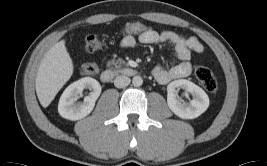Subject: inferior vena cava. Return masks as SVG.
<instances>
[{
    "mask_svg": "<svg viewBox=\"0 0 267 166\" xmlns=\"http://www.w3.org/2000/svg\"><path fill=\"white\" fill-rule=\"evenodd\" d=\"M130 82H131L130 78L127 76H124V75L117 76L114 79V85L117 88H124V87L128 86L130 84Z\"/></svg>",
    "mask_w": 267,
    "mask_h": 166,
    "instance_id": "obj_1",
    "label": "inferior vena cava"
}]
</instances>
